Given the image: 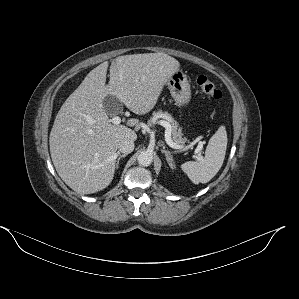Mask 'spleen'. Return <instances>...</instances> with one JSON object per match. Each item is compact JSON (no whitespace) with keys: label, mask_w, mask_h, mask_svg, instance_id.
Returning <instances> with one entry per match:
<instances>
[{"label":"spleen","mask_w":299,"mask_h":299,"mask_svg":"<svg viewBox=\"0 0 299 299\" xmlns=\"http://www.w3.org/2000/svg\"><path fill=\"white\" fill-rule=\"evenodd\" d=\"M227 133L224 126L219 127L210 138L205 157L199 161H187L181 169L194 184L209 182L223 165L227 149Z\"/></svg>","instance_id":"spleen-1"}]
</instances>
